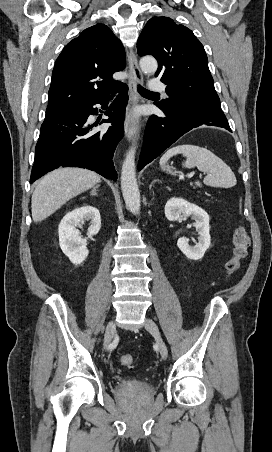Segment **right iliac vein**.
Masks as SVG:
<instances>
[{
  "label": "right iliac vein",
  "instance_id": "obj_1",
  "mask_svg": "<svg viewBox=\"0 0 272 452\" xmlns=\"http://www.w3.org/2000/svg\"><path fill=\"white\" fill-rule=\"evenodd\" d=\"M114 333H115V323H114V321H110L107 324V326H106L105 334H104V347H105V350H108V348H109V346L111 344V341H112Z\"/></svg>",
  "mask_w": 272,
  "mask_h": 452
}]
</instances>
